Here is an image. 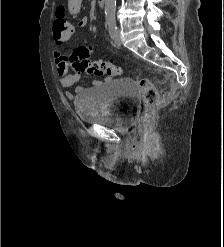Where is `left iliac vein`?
<instances>
[{
    "label": "left iliac vein",
    "mask_w": 224,
    "mask_h": 247,
    "mask_svg": "<svg viewBox=\"0 0 224 247\" xmlns=\"http://www.w3.org/2000/svg\"><path fill=\"white\" fill-rule=\"evenodd\" d=\"M113 40H114L116 45H118V46L121 45L122 40H121V35H120V31L119 30H116V32L114 34V37H113Z\"/></svg>",
    "instance_id": "4c4485c4"
}]
</instances>
